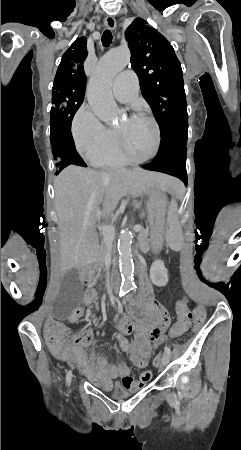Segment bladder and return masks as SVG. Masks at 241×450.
Masks as SVG:
<instances>
[{"label":"bladder","mask_w":241,"mask_h":450,"mask_svg":"<svg viewBox=\"0 0 241 450\" xmlns=\"http://www.w3.org/2000/svg\"><path fill=\"white\" fill-rule=\"evenodd\" d=\"M131 395V392H129L126 389L123 388H117L115 390H113L112 392V396L116 399H124L127 398Z\"/></svg>","instance_id":"obj_1"}]
</instances>
